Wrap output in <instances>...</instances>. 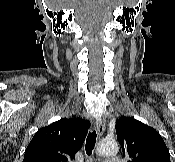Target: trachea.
Returning a JSON list of instances; mask_svg holds the SVG:
<instances>
[{
  "instance_id": "1",
  "label": "trachea",
  "mask_w": 175,
  "mask_h": 162,
  "mask_svg": "<svg viewBox=\"0 0 175 162\" xmlns=\"http://www.w3.org/2000/svg\"><path fill=\"white\" fill-rule=\"evenodd\" d=\"M96 138H97V134L95 130L92 132H89L87 139H86V145H85L86 154L88 156H90L93 152V149L96 143Z\"/></svg>"
}]
</instances>
